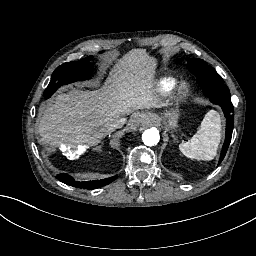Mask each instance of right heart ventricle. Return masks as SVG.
<instances>
[{
  "mask_svg": "<svg viewBox=\"0 0 256 256\" xmlns=\"http://www.w3.org/2000/svg\"><path fill=\"white\" fill-rule=\"evenodd\" d=\"M175 77L162 76L150 85L143 87V106H151L160 100L171 97L177 87Z\"/></svg>",
  "mask_w": 256,
  "mask_h": 256,
  "instance_id": "e07e8e85",
  "label": "right heart ventricle"
}]
</instances>
